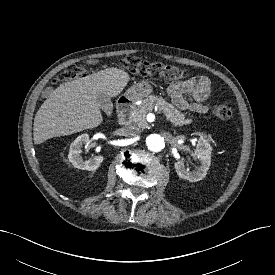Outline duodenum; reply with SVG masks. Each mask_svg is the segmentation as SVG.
Returning <instances> with one entry per match:
<instances>
[{
    "instance_id": "duodenum-1",
    "label": "duodenum",
    "mask_w": 275,
    "mask_h": 275,
    "mask_svg": "<svg viewBox=\"0 0 275 275\" xmlns=\"http://www.w3.org/2000/svg\"><path fill=\"white\" fill-rule=\"evenodd\" d=\"M133 104V99L131 97H121L117 103V115L118 122L121 125H126L130 122V109Z\"/></svg>"
}]
</instances>
